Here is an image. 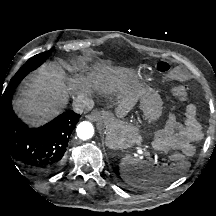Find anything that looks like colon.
<instances>
[{"label":"colon","mask_w":216,"mask_h":216,"mask_svg":"<svg viewBox=\"0 0 216 216\" xmlns=\"http://www.w3.org/2000/svg\"><path fill=\"white\" fill-rule=\"evenodd\" d=\"M157 70L160 73H167L170 70V65L167 62H160L157 65ZM173 94L177 100L184 102L188 99V87L184 84L174 86Z\"/></svg>","instance_id":"obj_1"}]
</instances>
